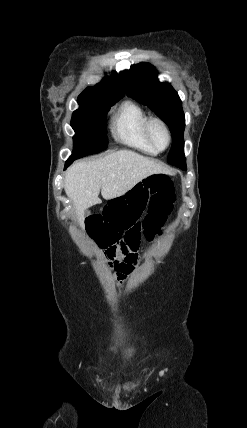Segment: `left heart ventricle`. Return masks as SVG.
Returning a JSON list of instances; mask_svg holds the SVG:
<instances>
[{
    "mask_svg": "<svg viewBox=\"0 0 247 428\" xmlns=\"http://www.w3.org/2000/svg\"><path fill=\"white\" fill-rule=\"evenodd\" d=\"M153 138L159 147H164L167 143V136L163 129L159 126H154L152 129Z\"/></svg>",
    "mask_w": 247,
    "mask_h": 428,
    "instance_id": "obj_1",
    "label": "left heart ventricle"
}]
</instances>
